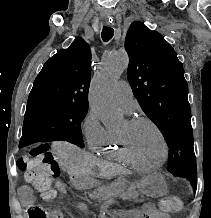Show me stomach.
Returning a JSON list of instances; mask_svg holds the SVG:
<instances>
[{"mask_svg":"<svg viewBox=\"0 0 211 218\" xmlns=\"http://www.w3.org/2000/svg\"><path fill=\"white\" fill-rule=\"evenodd\" d=\"M75 183L83 188H92L100 185L99 181L90 175L75 176ZM131 185L137 188L140 193L150 197H160L167 192V183L164 176L158 173L149 175Z\"/></svg>","mask_w":211,"mask_h":218,"instance_id":"stomach-1","label":"stomach"}]
</instances>
